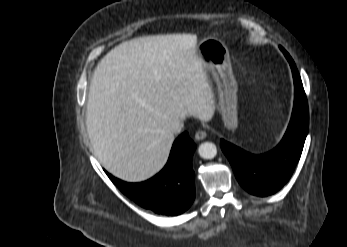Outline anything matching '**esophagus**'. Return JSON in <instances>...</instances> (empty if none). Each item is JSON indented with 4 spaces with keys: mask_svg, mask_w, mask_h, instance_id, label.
<instances>
[{
    "mask_svg": "<svg viewBox=\"0 0 347 247\" xmlns=\"http://www.w3.org/2000/svg\"><path fill=\"white\" fill-rule=\"evenodd\" d=\"M206 136H207V133L204 130H199L195 133V139L198 141L205 139Z\"/></svg>",
    "mask_w": 347,
    "mask_h": 247,
    "instance_id": "esophagus-1",
    "label": "esophagus"
}]
</instances>
